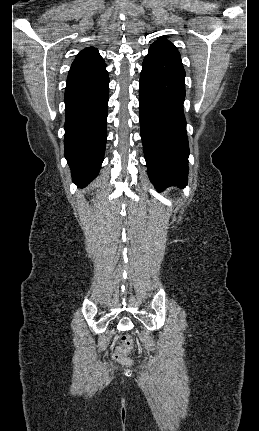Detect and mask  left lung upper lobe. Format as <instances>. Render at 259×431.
<instances>
[{
	"instance_id": "obj_1",
	"label": "left lung upper lobe",
	"mask_w": 259,
	"mask_h": 431,
	"mask_svg": "<svg viewBox=\"0 0 259 431\" xmlns=\"http://www.w3.org/2000/svg\"><path fill=\"white\" fill-rule=\"evenodd\" d=\"M161 40H164V41H167V42H169L168 40H166L165 38H161Z\"/></svg>"
}]
</instances>
